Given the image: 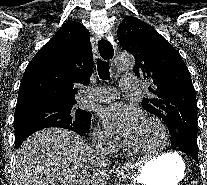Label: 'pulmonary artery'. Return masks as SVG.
Returning <instances> with one entry per match:
<instances>
[{
    "label": "pulmonary artery",
    "mask_w": 207,
    "mask_h": 185,
    "mask_svg": "<svg viewBox=\"0 0 207 185\" xmlns=\"http://www.w3.org/2000/svg\"><path fill=\"white\" fill-rule=\"evenodd\" d=\"M122 91H135V86H138V81H135V77H121ZM119 95L117 89L113 87H102L99 89L91 90L86 98L95 102H108L116 99Z\"/></svg>",
    "instance_id": "e3ab8cb5"
}]
</instances>
